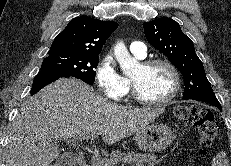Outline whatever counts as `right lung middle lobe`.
Listing matches in <instances>:
<instances>
[{"mask_svg": "<svg viewBox=\"0 0 231 166\" xmlns=\"http://www.w3.org/2000/svg\"><path fill=\"white\" fill-rule=\"evenodd\" d=\"M98 62V55L74 52H48V56L43 60L40 71H53L80 79L88 84H93L96 75L94 69L97 68Z\"/></svg>", "mask_w": 231, "mask_h": 166, "instance_id": "1", "label": "right lung middle lobe"}]
</instances>
